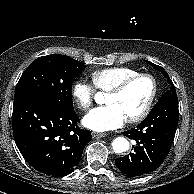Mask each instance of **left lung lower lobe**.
<instances>
[{"label":"left lung lower lobe","mask_w":194,"mask_h":194,"mask_svg":"<svg viewBox=\"0 0 194 194\" xmlns=\"http://www.w3.org/2000/svg\"><path fill=\"white\" fill-rule=\"evenodd\" d=\"M178 119L177 97L160 99L136 128L123 132L136 145L132 153L115 160L118 169L128 177L155 171L171 149Z\"/></svg>","instance_id":"0a47b994"}]
</instances>
